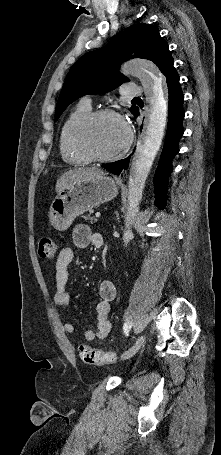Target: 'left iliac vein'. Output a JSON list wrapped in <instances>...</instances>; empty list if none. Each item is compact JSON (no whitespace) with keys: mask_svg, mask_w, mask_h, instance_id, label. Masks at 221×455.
Here are the masks:
<instances>
[{"mask_svg":"<svg viewBox=\"0 0 221 455\" xmlns=\"http://www.w3.org/2000/svg\"><path fill=\"white\" fill-rule=\"evenodd\" d=\"M144 341H145V337L143 335L138 337V339L135 341L133 346L128 351H126L125 354L122 356V360L129 359L133 355H135L138 352V350L141 348V346L143 345Z\"/></svg>","mask_w":221,"mask_h":455,"instance_id":"left-iliac-vein-1","label":"left iliac vein"}]
</instances>
